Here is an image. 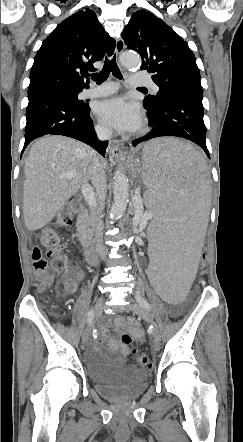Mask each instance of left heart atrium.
Returning <instances> with one entry per match:
<instances>
[{
	"instance_id": "obj_1",
	"label": "left heart atrium",
	"mask_w": 243,
	"mask_h": 442,
	"mask_svg": "<svg viewBox=\"0 0 243 442\" xmlns=\"http://www.w3.org/2000/svg\"><path fill=\"white\" fill-rule=\"evenodd\" d=\"M96 113L105 125L121 132L133 131L141 123L139 105L124 97H113L100 102Z\"/></svg>"
}]
</instances>
